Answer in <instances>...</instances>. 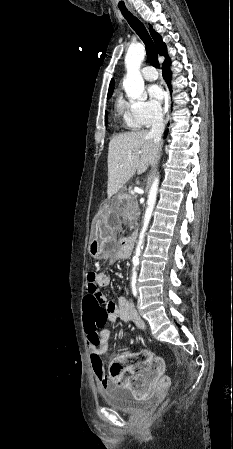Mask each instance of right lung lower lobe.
<instances>
[{"label":"right lung lower lobe","mask_w":233,"mask_h":449,"mask_svg":"<svg viewBox=\"0 0 233 449\" xmlns=\"http://www.w3.org/2000/svg\"><path fill=\"white\" fill-rule=\"evenodd\" d=\"M169 66H170V62H168L166 64H163V76H164V79H165V81H166V83L168 85V88H169L170 92H172V88L170 86L171 72L169 70Z\"/></svg>","instance_id":"98d812e1"}]
</instances>
